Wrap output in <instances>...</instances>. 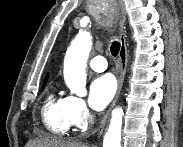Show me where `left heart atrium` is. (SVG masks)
I'll use <instances>...</instances> for the list:
<instances>
[{"instance_id":"1","label":"left heart atrium","mask_w":183,"mask_h":147,"mask_svg":"<svg viewBox=\"0 0 183 147\" xmlns=\"http://www.w3.org/2000/svg\"><path fill=\"white\" fill-rule=\"evenodd\" d=\"M116 81L110 74L96 77L89 88V104L97 111L103 110L113 99Z\"/></svg>"}]
</instances>
